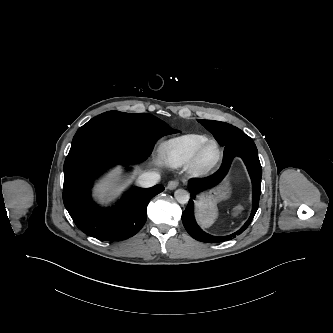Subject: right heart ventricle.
Returning a JSON list of instances; mask_svg holds the SVG:
<instances>
[{
    "instance_id": "right-heart-ventricle-1",
    "label": "right heart ventricle",
    "mask_w": 333,
    "mask_h": 333,
    "mask_svg": "<svg viewBox=\"0 0 333 333\" xmlns=\"http://www.w3.org/2000/svg\"><path fill=\"white\" fill-rule=\"evenodd\" d=\"M208 139L205 135L187 134L166 141L161 149L163 160L172 167L187 165L199 147Z\"/></svg>"
}]
</instances>
